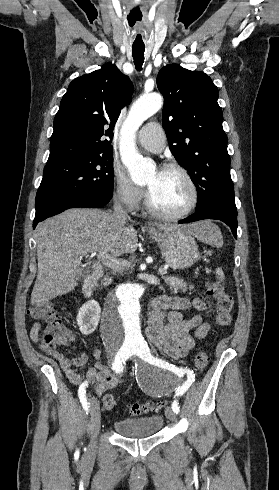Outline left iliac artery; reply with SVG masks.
I'll return each instance as SVG.
<instances>
[{
	"label": "left iliac artery",
	"mask_w": 279,
	"mask_h": 490,
	"mask_svg": "<svg viewBox=\"0 0 279 490\" xmlns=\"http://www.w3.org/2000/svg\"><path fill=\"white\" fill-rule=\"evenodd\" d=\"M140 348L150 363H153L155 365H158V366H161V367L166 368L168 370H171L178 375H182L184 373L187 374V381H185L183 383V385L176 390V396L182 395L191 386V384L195 381V374L193 373L192 370L187 369V368L179 369V368L175 367V365H172V364H169L168 362L162 361V359H157V358L153 357L150 353V349L147 345V342L141 343ZM172 410L176 414H178V412L180 411V409L178 407V403L176 400L172 403Z\"/></svg>",
	"instance_id": "44dca946"
}]
</instances>
